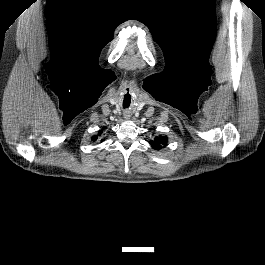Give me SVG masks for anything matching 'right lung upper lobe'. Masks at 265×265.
Wrapping results in <instances>:
<instances>
[{"label": "right lung upper lobe", "instance_id": "right-lung-upper-lobe-1", "mask_svg": "<svg viewBox=\"0 0 265 265\" xmlns=\"http://www.w3.org/2000/svg\"><path fill=\"white\" fill-rule=\"evenodd\" d=\"M101 133H102V130H100V131L98 132V135H100ZM97 138H98V136H93V137H92V141H96Z\"/></svg>", "mask_w": 265, "mask_h": 265}]
</instances>
